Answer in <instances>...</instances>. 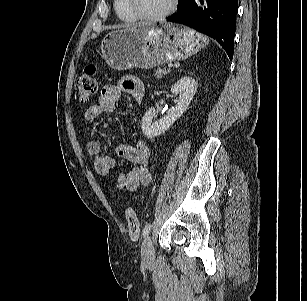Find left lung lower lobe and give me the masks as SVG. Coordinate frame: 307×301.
<instances>
[{"label":"left lung lower lobe","instance_id":"left-lung-lower-lobe-1","mask_svg":"<svg viewBox=\"0 0 307 301\" xmlns=\"http://www.w3.org/2000/svg\"><path fill=\"white\" fill-rule=\"evenodd\" d=\"M237 0H179L176 14L167 21L190 26L215 39L233 58Z\"/></svg>","mask_w":307,"mask_h":301}]
</instances>
